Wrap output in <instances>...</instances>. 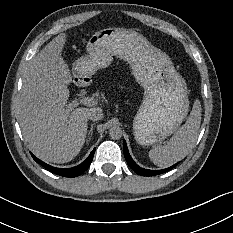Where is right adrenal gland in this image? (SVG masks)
I'll list each match as a JSON object with an SVG mask.
<instances>
[{
  "instance_id": "right-adrenal-gland-1",
  "label": "right adrenal gland",
  "mask_w": 233,
  "mask_h": 233,
  "mask_svg": "<svg viewBox=\"0 0 233 233\" xmlns=\"http://www.w3.org/2000/svg\"><path fill=\"white\" fill-rule=\"evenodd\" d=\"M95 123L91 124L90 130L88 132L89 138L86 140V142H88L91 139V136L93 134V127H94Z\"/></svg>"
}]
</instances>
